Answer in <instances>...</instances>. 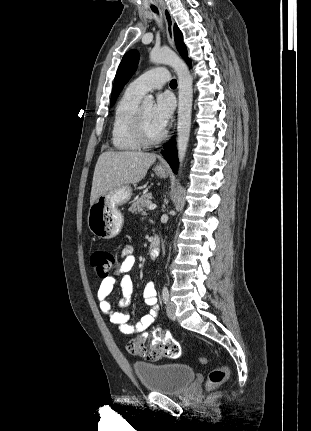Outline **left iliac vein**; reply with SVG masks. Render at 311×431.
<instances>
[{
  "mask_svg": "<svg viewBox=\"0 0 311 431\" xmlns=\"http://www.w3.org/2000/svg\"><path fill=\"white\" fill-rule=\"evenodd\" d=\"M166 313L169 319L176 320V305L173 302H167Z\"/></svg>",
  "mask_w": 311,
  "mask_h": 431,
  "instance_id": "4c4485c4",
  "label": "left iliac vein"
}]
</instances>
